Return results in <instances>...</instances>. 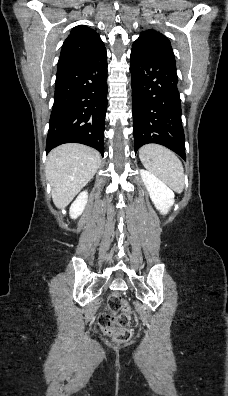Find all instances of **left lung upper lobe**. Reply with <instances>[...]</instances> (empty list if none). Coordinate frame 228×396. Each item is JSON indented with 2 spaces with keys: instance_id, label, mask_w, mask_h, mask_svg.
<instances>
[{
  "instance_id": "left-lung-upper-lobe-1",
  "label": "left lung upper lobe",
  "mask_w": 228,
  "mask_h": 396,
  "mask_svg": "<svg viewBox=\"0 0 228 396\" xmlns=\"http://www.w3.org/2000/svg\"><path fill=\"white\" fill-rule=\"evenodd\" d=\"M135 42L152 44V45L164 48L165 50L170 52L172 55H174L170 41L168 40V38L165 37L163 34L156 32L154 30H148V31L142 32L140 37Z\"/></svg>"
}]
</instances>
